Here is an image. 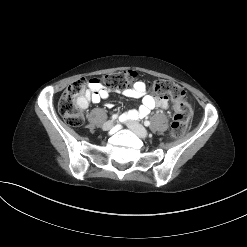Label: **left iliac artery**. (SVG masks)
Wrapping results in <instances>:
<instances>
[{
  "mask_svg": "<svg viewBox=\"0 0 247 247\" xmlns=\"http://www.w3.org/2000/svg\"><path fill=\"white\" fill-rule=\"evenodd\" d=\"M144 125L147 127L150 126V121H148V120L144 121Z\"/></svg>",
  "mask_w": 247,
  "mask_h": 247,
  "instance_id": "44dca946",
  "label": "left iliac artery"
}]
</instances>
